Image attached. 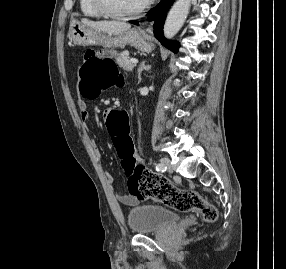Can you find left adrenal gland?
I'll use <instances>...</instances> for the list:
<instances>
[{
    "label": "left adrenal gland",
    "instance_id": "1",
    "mask_svg": "<svg viewBox=\"0 0 286 269\" xmlns=\"http://www.w3.org/2000/svg\"><path fill=\"white\" fill-rule=\"evenodd\" d=\"M151 69L150 65H146V61H142L138 67V84L141 82L142 71H149Z\"/></svg>",
    "mask_w": 286,
    "mask_h": 269
}]
</instances>
